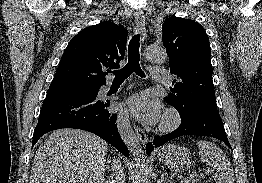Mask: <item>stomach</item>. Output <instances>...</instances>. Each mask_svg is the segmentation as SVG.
Returning a JSON list of instances; mask_svg holds the SVG:
<instances>
[{
  "instance_id": "1",
  "label": "stomach",
  "mask_w": 262,
  "mask_h": 183,
  "mask_svg": "<svg viewBox=\"0 0 262 183\" xmlns=\"http://www.w3.org/2000/svg\"><path fill=\"white\" fill-rule=\"evenodd\" d=\"M157 157L174 171L187 170L192 164L189 150L174 144H167L159 149Z\"/></svg>"
}]
</instances>
